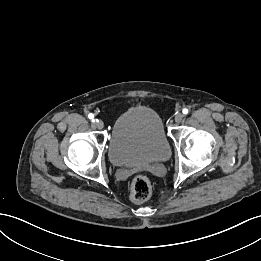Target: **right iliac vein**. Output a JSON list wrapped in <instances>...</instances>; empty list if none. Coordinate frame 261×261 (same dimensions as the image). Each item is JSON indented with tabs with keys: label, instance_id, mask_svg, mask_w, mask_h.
I'll return each instance as SVG.
<instances>
[{
	"label": "right iliac vein",
	"instance_id": "obj_1",
	"mask_svg": "<svg viewBox=\"0 0 261 261\" xmlns=\"http://www.w3.org/2000/svg\"><path fill=\"white\" fill-rule=\"evenodd\" d=\"M95 126L97 129H102L104 127V123L101 120H97Z\"/></svg>",
	"mask_w": 261,
	"mask_h": 261
}]
</instances>
